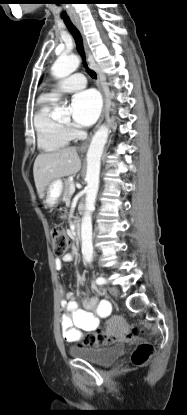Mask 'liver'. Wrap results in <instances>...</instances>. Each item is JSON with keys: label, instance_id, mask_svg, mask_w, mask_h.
Masks as SVG:
<instances>
[{"label": "liver", "instance_id": "liver-1", "mask_svg": "<svg viewBox=\"0 0 187 415\" xmlns=\"http://www.w3.org/2000/svg\"><path fill=\"white\" fill-rule=\"evenodd\" d=\"M80 168L81 161L75 147L39 154L33 166L34 181L39 198H43L44 191L51 181L77 173Z\"/></svg>", "mask_w": 187, "mask_h": 415}]
</instances>
